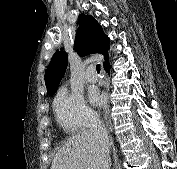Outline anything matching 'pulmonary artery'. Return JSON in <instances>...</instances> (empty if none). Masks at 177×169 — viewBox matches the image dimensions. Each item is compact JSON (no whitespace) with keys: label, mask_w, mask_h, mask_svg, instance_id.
Masks as SVG:
<instances>
[{"label":"pulmonary artery","mask_w":177,"mask_h":169,"mask_svg":"<svg viewBox=\"0 0 177 169\" xmlns=\"http://www.w3.org/2000/svg\"><path fill=\"white\" fill-rule=\"evenodd\" d=\"M85 79L87 82L95 83L98 81V74L95 72V68L93 65H89L86 73H85Z\"/></svg>","instance_id":"obj_1"}]
</instances>
